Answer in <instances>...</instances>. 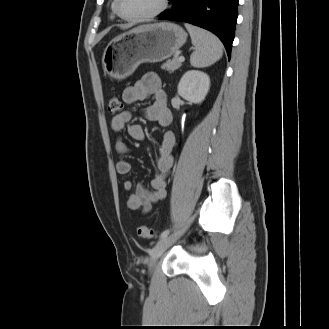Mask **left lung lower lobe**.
Here are the masks:
<instances>
[{"mask_svg": "<svg viewBox=\"0 0 329 329\" xmlns=\"http://www.w3.org/2000/svg\"><path fill=\"white\" fill-rule=\"evenodd\" d=\"M173 7L160 14L159 20L194 24L214 33L225 46L228 57L234 40L238 0H170Z\"/></svg>", "mask_w": 329, "mask_h": 329, "instance_id": "obj_1", "label": "left lung lower lobe"}]
</instances>
